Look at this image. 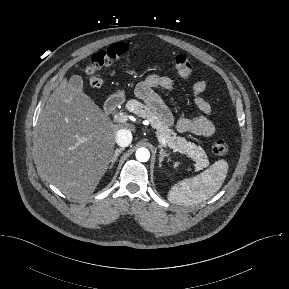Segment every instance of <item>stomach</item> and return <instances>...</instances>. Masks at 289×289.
I'll return each mask as SVG.
<instances>
[{
    "instance_id": "obj_1",
    "label": "stomach",
    "mask_w": 289,
    "mask_h": 289,
    "mask_svg": "<svg viewBox=\"0 0 289 289\" xmlns=\"http://www.w3.org/2000/svg\"><path fill=\"white\" fill-rule=\"evenodd\" d=\"M118 95L121 96V97H123V96H124V90H119V91H118Z\"/></svg>"
}]
</instances>
